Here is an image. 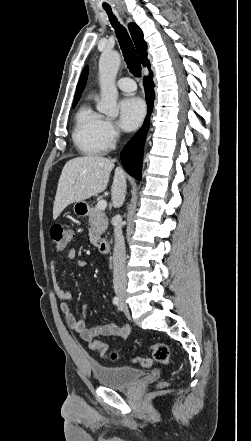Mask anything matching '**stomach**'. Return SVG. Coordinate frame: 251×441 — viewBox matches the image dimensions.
<instances>
[{"instance_id": "1", "label": "stomach", "mask_w": 251, "mask_h": 441, "mask_svg": "<svg viewBox=\"0 0 251 441\" xmlns=\"http://www.w3.org/2000/svg\"><path fill=\"white\" fill-rule=\"evenodd\" d=\"M87 209V204L84 201H79L74 204L73 210L75 214L82 215L84 211Z\"/></svg>"}]
</instances>
